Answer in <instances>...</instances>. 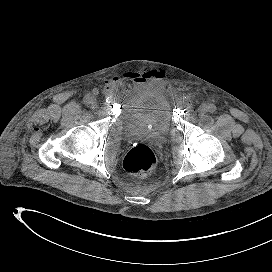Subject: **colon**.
Segmentation results:
<instances>
[{
	"instance_id": "colon-1",
	"label": "colon",
	"mask_w": 272,
	"mask_h": 272,
	"mask_svg": "<svg viewBox=\"0 0 272 272\" xmlns=\"http://www.w3.org/2000/svg\"><path fill=\"white\" fill-rule=\"evenodd\" d=\"M123 165L126 171L134 175H148L157 165L153 151L146 145L132 148L125 156Z\"/></svg>"
}]
</instances>
